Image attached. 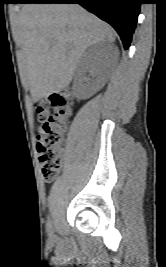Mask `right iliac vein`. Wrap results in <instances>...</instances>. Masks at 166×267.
<instances>
[{
	"instance_id": "right-iliac-vein-1",
	"label": "right iliac vein",
	"mask_w": 166,
	"mask_h": 267,
	"mask_svg": "<svg viewBox=\"0 0 166 267\" xmlns=\"http://www.w3.org/2000/svg\"><path fill=\"white\" fill-rule=\"evenodd\" d=\"M55 234L52 232L50 235H49V239L51 240V241H53L54 239H55Z\"/></svg>"
}]
</instances>
